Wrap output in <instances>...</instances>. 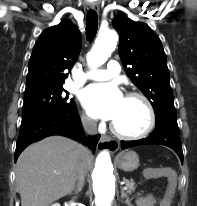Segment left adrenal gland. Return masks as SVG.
Instances as JSON below:
<instances>
[{"mask_svg":"<svg viewBox=\"0 0 197 206\" xmlns=\"http://www.w3.org/2000/svg\"><path fill=\"white\" fill-rule=\"evenodd\" d=\"M121 198H125V199H126V200H125V203L130 206L129 197H128V195L124 192V190H123L122 188H121Z\"/></svg>","mask_w":197,"mask_h":206,"instance_id":"obj_1","label":"left adrenal gland"}]
</instances>
